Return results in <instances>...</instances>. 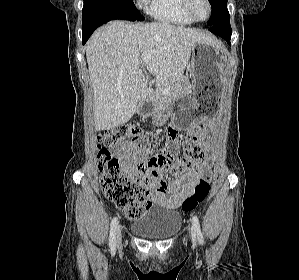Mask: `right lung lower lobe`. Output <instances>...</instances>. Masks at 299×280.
Here are the masks:
<instances>
[{"mask_svg": "<svg viewBox=\"0 0 299 280\" xmlns=\"http://www.w3.org/2000/svg\"><path fill=\"white\" fill-rule=\"evenodd\" d=\"M83 44L100 25L115 19L140 21L114 0H84L82 10Z\"/></svg>", "mask_w": 299, "mask_h": 280, "instance_id": "98d812e1", "label": "right lung lower lobe"}]
</instances>
